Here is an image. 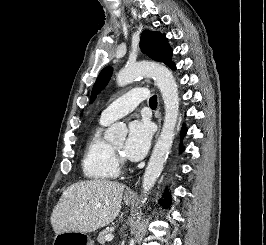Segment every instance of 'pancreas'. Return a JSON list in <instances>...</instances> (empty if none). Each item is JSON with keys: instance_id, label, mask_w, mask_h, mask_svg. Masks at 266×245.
<instances>
[{"instance_id": "pancreas-1", "label": "pancreas", "mask_w": 266, "mask_h": 245, "mask_svg": "<svg viewBox=\"0 0 266 245\" xmlns=\"http://www.w3.org/2000/svg\"><path fill=\"white\" fill-rule=\"evenodd\" d=\"M112 233L113 231H111V229H105V231H101L97 237L98 243H100V245H104V243H106V235H112Z\"/></svg>"}]
</instances>
